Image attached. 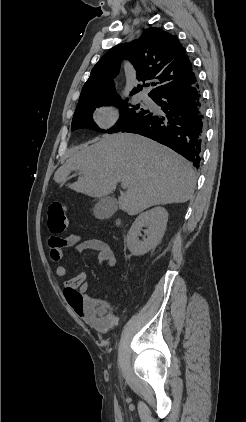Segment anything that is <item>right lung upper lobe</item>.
I'll use <instances>...</instances> for the list:
<instances>
[{"label": "right lung upper lobe", "instance_id": "1", "mask_svg": "<svg viewBox=\"0 0 246 422\" xmlns=\"http://www.w3.org/2000/svg\"><path fill=\"white\" fill-rule=\"evenodd\" d=\"M129 60L137 80H155L149 96L154 99L177 86L197 81L196 74L178 38L159 28L145 30L138 40L111 48L93 67L84 84L77 107L93 101L119 97L111 82L118 74L120 62ZM148 84L138 85L131 94Z\"/></svg>", "mask_w": 246, "mask_h": 422}]
</instances>
